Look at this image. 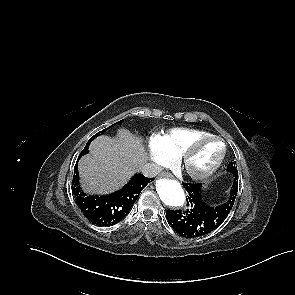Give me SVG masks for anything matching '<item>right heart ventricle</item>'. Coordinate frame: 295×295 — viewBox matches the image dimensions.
<instances>
[{
    "mask_svg": "<svg viewBox=\"0 0 295 295\" xmlns=\"http://www.w3.org/2000/svg\"><path fill=\"white\" fill-rule=\"evenodd\" d=\"M207 135L210 134L203 130L173 128L157 136L164 150L173 158H177L191 142Z\"/></svg>",
    "mask_w": 295,
    "mask_h": 295,
    "instance_id": "e07e8e85",
    "label": "right heart ventricle"
}]
</instances>
